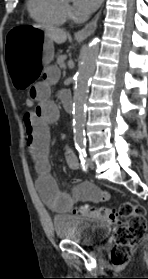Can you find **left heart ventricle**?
<instances>
[{"mask_svg": "<svg viewBox=\"0 0 148 279\" xmlns=\"http://www.w3.org/2000/svg\"><path fill=\"white\" fill-rule=\"evenodd\" d=\"M66 3H68L70 0H64Z\"/></svg>", "mask_w": 148, "mask_h": 279, "instance_id": "1", "label": "left heart ventricle"}]
</instances>
